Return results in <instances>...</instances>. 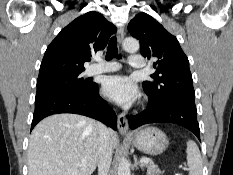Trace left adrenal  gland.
<instances>
[{
    "mask_svg": "<svg viewBox=\"0 0 233 175\" xmlns=\"http://www.w3.org/2000/svg\"><path fill=\"white\" fill-rule=\"evenodd\" d=\"M137 166H139L142 170H144L143 164H141L140 162H138L137 158H135L133 167H137Z\"/></svg>",
    "mask_w": 233,
    "mask_h": 175,
    "instance_id": "1",
    "label": "left adrenal gland"
}]
</instances>
